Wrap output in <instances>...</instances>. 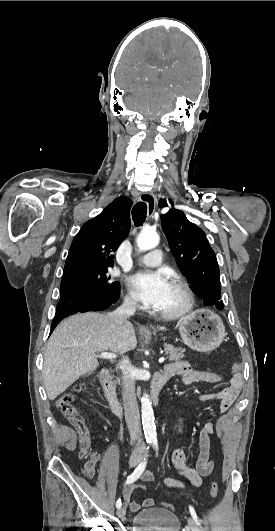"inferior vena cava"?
Wrapping results in <instances>:
<instances>
[{
    "instance_id": "602c4592",
    "label": "inferior vena cava",
    "mask_w": 275,
    "mask_h": 531,
    "mask_svg": "<svg viewBox=\"0 0 275 531\" xmlns=\"http://www.w3.org/2000/svg\"><path fill=\"white\" fill-rule=\"evenodd\" d=\"M136 311V301L127 299L124 301L122 307L116 309L114 313H108L109 319H113L118 325H122L128 317L134 315ZM120 355H124L126 351H119ZM116 369H121L123 385H122V399L125 413V421L128 427L130 439L136 449H141V425L138 403L135 393V381L131 377V365L127 357H123L116 365ZM137 441V443H136Z\"/></svg>"
}]
</instances>
